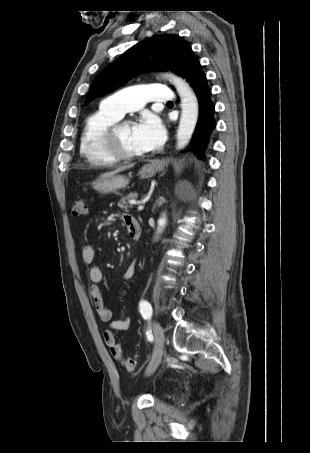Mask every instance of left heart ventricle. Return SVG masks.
<instances>
[{"instance_id":"1","label":"left heart ventricle","mask_w":310,"mask_h":453,"mask_svg":"<svg viewBox=\"0 0 310 453\" xmlns=\"http://www.w3.org/2000/svg\"><path fill=\"white\" fill-rule=\"evenodd\" d=\"M119 138L123 149L127 153L142 154L145 150L139 145L133 134V125L125 124L119 131Z\"/></svg>"}]
</instances>
